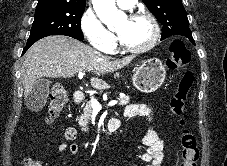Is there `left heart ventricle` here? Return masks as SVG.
I'll list each match as a JSON object with an SVG mask.
<instances>
[{
  "label": "left heart ventricle",
  "mask_w": 227,
  "mask_h": 166,
  "mask_svg": "<svg viewBox=\"0 0 227 166\" xmlns=\"http://www.w3.org/2000/svg\"><path fill=\"white\" fill-rule=\"evenodd\" d=\"M115 30L120 40L129 47L145 45L153 33L151 24L144 18L131 20L125 17L117 24Z\"/></svg>",
  "instance_id": "1"
}]
</instances>
